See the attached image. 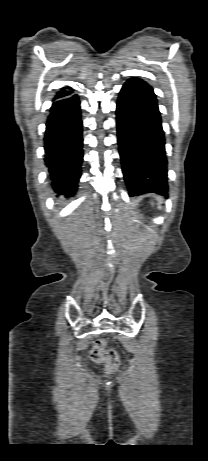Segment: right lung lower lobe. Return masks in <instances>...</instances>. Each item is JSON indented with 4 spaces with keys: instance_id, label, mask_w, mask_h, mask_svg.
<instances>
[{
    "instance_id": "right-lung-lower-lobe-1",
    "label": "right lung lower lobe",
    "mask_w": 208,
    "mask_h": 461,
    "mask_svg": "<svg viewBox=\"0 0 208 461\" xmlns=\"http://www.w3.org/2000/svg\"><path fill=\"white\" fill-rule=\"evenodd\" d=\"M82 144L79 97L70 95L55 100L46 122L45 163L53 188L66 197L73 195L81 176Z\"/></svg>"
}]
</instances>
